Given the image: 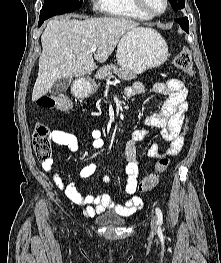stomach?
<instances>
[{"mask_svg": "<svg viewBox=\"0 0 221 263\" xmlns=\"http://www.w3.org/2000/svg\"><path fill=\"white\" fill-rule=\"evenodd\" d=\"M168 56L166 41L152 29H136L126 33L120 40L116 52L118 64L136 74L161 66ZM94 89V84L88 81L87 92Z\"/></svg>", "mask_w": 221, "mask_h": 263, "instance_id": "0dacf381", "label": "stomach"}]
</instances>
